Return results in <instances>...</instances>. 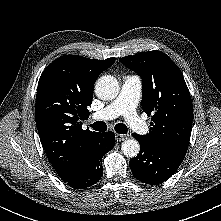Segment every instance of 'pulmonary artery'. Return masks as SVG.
I'll return each mask as SVG.
<instances>
[{
  "label": "pulmonary artery",
  "mask_w": 221,
  "mask_h": 221,
  "mask_svg": "<svg viewBox=\"0 0 221 221\" xmlns=\"http://www.w3.org/2000/svg\"><path fill=\"white\" fill-rule=\"evenodd\" d=\"M141 93V78L135 74L126 75L116 99L97 113L93 114L90 121L110 120L122 115L134 131L141 135H146L149 132L148 125L136 112Z\"/></svg>",
  "instance_id": "pulmonary-artery-1"
}]
</instances>
